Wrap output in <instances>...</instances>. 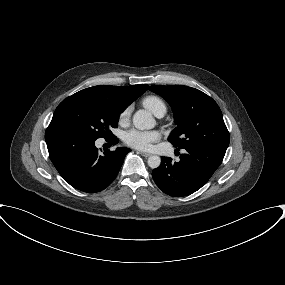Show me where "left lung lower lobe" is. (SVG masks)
I'll return each mask as SVG.
<instances>
[{
	"mask_svg": "<svg viewBox=\"0 0 285 285\" xmlns=\"http://www.w3.org/2000/svg\"><path fill=\"white\" fill-rule=\"evenodd\" d=\"M185 150L179 162L161 157V165L152 172L156 185L170 196H186L199 190L220 166L226 153L225 149L205 146Z\"/></svg>",
	"mask_w": 285,
	"mask_h": 285,
	"instance_id": "0a47b994",
	"label": "left lung lower lobe"
}]
</instances>
